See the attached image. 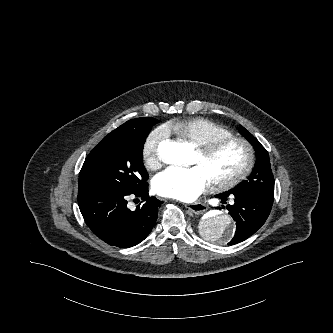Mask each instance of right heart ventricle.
Here are the masks:
<instances>
[{
	"label": "right heart ventricle",
	"mask_w": 333,
	"mask_h": 333,
	"mask_svg": "<svg viewBox=\"0 0 333 333\" xmlns=\"http://www.w3.org/2000/svg\"><path fill=\"white\" fill-rule=\"evenodd\" d=\"M166 130L176 139L200 146L209 141L232 135L231 131L205 118H178L168 122Z\"/></svg>",
	"instance_id": "e07e8e85"
}]
</instances>
